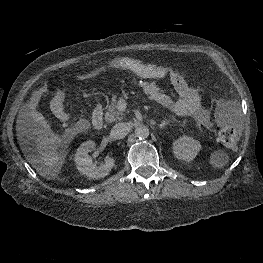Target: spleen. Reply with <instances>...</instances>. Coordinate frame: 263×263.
Segmentation results:
<instances>
[{"label":"spleen","instance_id":"obj_1","mask_svg":"<svg viewBox=\"0 0 263 263\" xmlns=\"http://www.w3.org/2000/svg\"><path fill=\"white\" fill-rule=\"evenodd\" d=\"M229 160V156L221 150H215L210 155V164L215 168H222L224 167Z\"/></svg>","mask_w":263,"mask_h":263}]
</instances>
